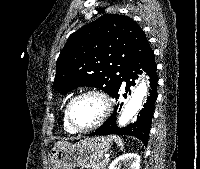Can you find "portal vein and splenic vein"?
Wrapping results in <instances>:
<instances>
[{"mask_svg":"<svg viewBox=\"0 0 200 169\" xmlns=\"http://www.w3.org/2000/svg\"><path fill=\"white\" fill-rule=\"evenodd\" d=\"M109 159V155L108 156H105V160H108Z\"/></svg>","mask_w":200,"mask_h":169,"instance_id":"obj_1","label":"portal vein and splenic vein"}]
</instances>
